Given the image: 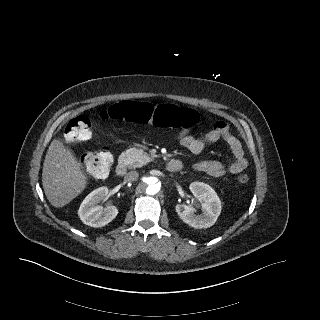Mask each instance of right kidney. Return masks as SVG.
Segmentation results:
<instances>
[{
    "label": "right kidney",
    "instance_id": "1",
    "mask_svg": "<svg viewBox=\"0 0 320 320\" xmlns=\"http://www.w3.org/2000/svg\"><path fill=\"white\" fill-rule=\"evenodd\" d=\"M109 196L107 187H100L88 194L81 203L78 215L81 221L91 227H103L110 223L118 214L115 206L103 208L98 205L102 200Z\"/></svg>",
    "mask_w": 320,
    "mask_h": 320
}]
</instances>
